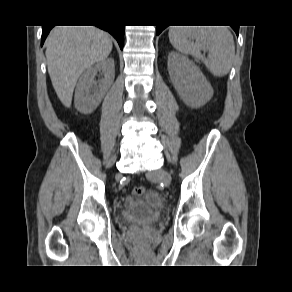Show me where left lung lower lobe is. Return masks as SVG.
<instances>
[{
    "instance_id": "left-lung-lower-lobe-1",
    "label": "left lung lower lobe",
    "mask_w": 292,
    "mask_h": 292,
    "mask_svg": "<svg viewBox=\"0 0 292 292\" xmlns=\"http://www.w3.org/2000/svg\"><path fill=\"white\" fill-rule=\"evenodd\" d=\"M165 28L166 26H157V31H156L157 35H159L162 32V30ZM232 28L235 30L236 34L238 35L239 26H236V27L232 26Z\"/></svg>"
}]
</instances>
